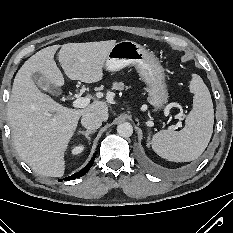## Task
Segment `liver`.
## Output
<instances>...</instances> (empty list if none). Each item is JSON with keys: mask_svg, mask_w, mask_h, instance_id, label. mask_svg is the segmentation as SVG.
Returning <instances> with one entry per match:
<instances>
[{"mask_svg": "<svg viewBox=\"0 0 233 233\" xmlns=\"http://www.w3.org/2000/svg\"><path fill=\"white\" fill-rule=\"evenodd\" d=\"M115 40L68 43L61 46L58 60L71 80L96 83L103 78L106 57ZM60 46L46 47L31 56L18 70L7 105V118L16 151L31 169L43 176L61 177L65 152L81 116L95 113L109 117L106 102L95 100L83 109H70L42 93L32 75L40 73L55 86L64 77L54 55Z\"/></svg>", "mask_w": 233, "mask_h": 233, "instance_id": "obj_1", "label": "liver"}]
</instances>
